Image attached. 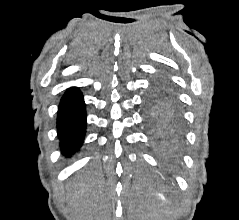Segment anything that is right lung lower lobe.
I'll return each mask as SVG.
<instances>
[{
    "instance_id": "obj_1",
    "label": "right lung lower lobe",
    "mask_w": 239,
    "mask_h": 220,
    "mask_svg": "<svg viewBox=\"0 0 239 220\" xmlns=\"http://www.w3.org/2000/svg\"><path fill=\"white\" fill-rule=\"evenodd\" d=\"M57 129L62 153L69 157L80 148L86 132L85 104L76 87L69 88L60 101Z\"/></svg>"
}]
</instances>
